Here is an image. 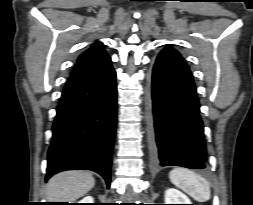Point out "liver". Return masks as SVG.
Masks as SVG:
<instances>
[{
    "label": "liver",
    "instance_id": "1",
    "mask_svg": "<svg viewBox=\"0 0 253 205\" xmlns=\"http://www.w3.org/2000/svg\"><path fill=\"white\" fill-rule=\"evenodd\" d=\"M94 185L95 179L88 171L61 172L48 181L46 198L49 202L72 203L89 192Z\"/></svg>",
    "mask_w": 253,
    "mask_h": 205
}]
</instances>
